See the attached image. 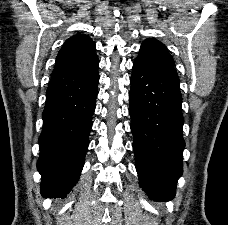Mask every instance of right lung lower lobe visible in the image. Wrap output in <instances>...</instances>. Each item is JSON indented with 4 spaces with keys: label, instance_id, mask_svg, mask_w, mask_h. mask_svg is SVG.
Instances as JSON below:
<instances>
[{
    "label": "right lung lower lobe",
    "instance_id": "98d812e1",
    "mask_svg": "<svg viewBox=\"0 0 228 225\" xmlns=\"http://www.w3.org/2000/svg\"><path fill=\"white\" fill-rule=\"evenodd\" d=\"M98 65L95 54L53 70L42 114L37 162L45 197L65 196L79 178L98 93Z\"/></svg>",
    "mask_w": 228,
    "mask_h": 225
}]
</instances>
